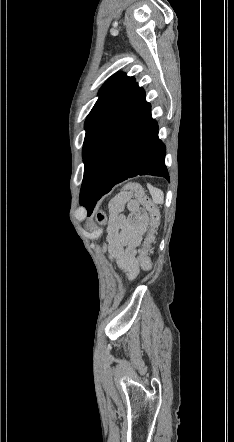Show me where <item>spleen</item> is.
Instances as JSON below:
<instances>
[{"label": "spleen", "mask_w": 234, "mask_h": 442, "mask_svg": "<svg viewBox=\"0 0 234 442\" xmlns=\"http://www.w3.org/2000/svg\"><path fill=\"white\" fill-rule=\"evenodd\" d=\"M149 191H150V194L152 196L154 203H156V204H163L164 203V194L160 189L155 188V187H151L149 189Z\"/></svg>", "instance_id": "3e777b00"}]
</instances>
